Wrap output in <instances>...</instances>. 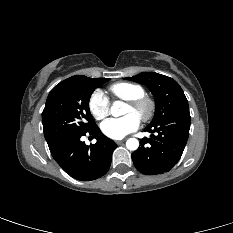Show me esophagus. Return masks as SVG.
Segmentation results:
<instances>
[{
	"mask_svg": "<svg viewBox=\"0 0 233 233\" xmlns=\"http://www.w3.org/2000/svg\"><path fill=\"white\" fill-rule=\"evenodd\" d=\"M123 142H124L123 140H118V141H116V143H117L118 145L122 144Z\"/></svg>",
	"mask_w": 233,
	"mask_h": 233,
	"instance_id": "esophagus-1",
	"label": "esophagus"
}]
</instances>
